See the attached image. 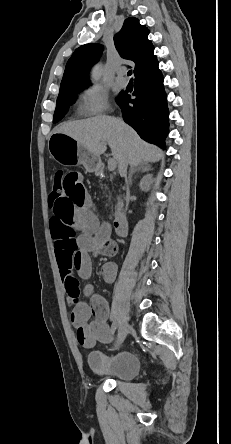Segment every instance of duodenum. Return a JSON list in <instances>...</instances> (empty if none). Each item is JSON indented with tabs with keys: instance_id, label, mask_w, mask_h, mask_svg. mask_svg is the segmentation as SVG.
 <instances>
[{
	"instance_id": "duodenum-1",
	"label": "duodenum",
	"mask_w": 231,
	"mask_h": 444,
	"mask_svg": "<svg viewBox=\"0 0 231 444\" xmlns=\"http://www.w3.org/2000/svg\"><path fill=\"white\" fill-rule=\"evenodd\" d=\"M112 226L117 236L124 237L127 235V221L123 215L116 217L112 223Z\"/></svg>"
}]
</instances>
